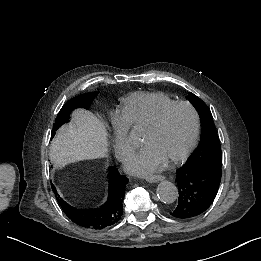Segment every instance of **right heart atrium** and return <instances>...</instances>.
<instances>
[{"label": "right heart atrium", "mask_w": 261, "mask_h": 261, "mask_svg": "<svg viewBox=\"0 0 261 261\" xmlns=\"http://www.w3.org/2000/svg\"><path fill=\"white\" fill-rule=\"evenodd\" d=\"M113 122L117 129V136L114 141L115 152L120 159H124V152L129 149V144L126 141V136L129 131V122L121 116L119 111L115 112Z\"/></svg>", "instance_id": "right-heart-atrium-1"}]
</instances>
